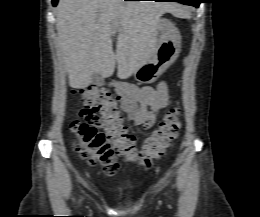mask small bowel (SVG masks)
Here are the masks:
<instances>
[{
  "instance_id": "small-bowel-1",
  "label": "small bowel",
  "mask_w": 260,
  "mask_h": 217,
  "mask_svg": "<svg viewBox=\"0 0 260 217\" xmlns=\"http://www.w3.org/2000/svg\"><path fill=\"white\" fill-rule=\"evenodd\" d=\"M108 85L115 90L123 113L134 126L150 128L160 110L168 103L169 87L164 81L156 87H138L118 81H112Z\"/></svg>"
}]
</instances>
